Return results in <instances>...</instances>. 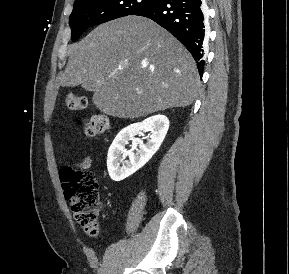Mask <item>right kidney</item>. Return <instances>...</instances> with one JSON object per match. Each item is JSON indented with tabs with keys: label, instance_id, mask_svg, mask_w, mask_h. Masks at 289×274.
<instances>
[{
	"label": "right kidney",
	"instance_id": "right-kidney-1",
	"mask_svg": "<svg viewBox=\"0 0 289 274\" xmlns=\"http://www.w3.org/2000/svg\"><path fill=\"white\" fill-rule=\"evenodd\" d=\"M169 128L165 115H154L142 122L131 124L122 129L111 144L107 156V169L113 181H121L143 167L161 146ZM149 131L147 141H136L135 136ZM132 140L139 149L134 153L125 146ZM128 157V160L125 158Z\"/></svg>",
	"mask_w": 289,
	"mask_h": 274
}]
</instances>
